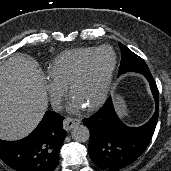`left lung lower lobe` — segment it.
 Returning <instances> with one entry per match:
<instances>
[{
	"mask_svg": "<svg viewBox=\"0 0 171 171\" xmlns=\"http://www.w3.org/2000/svg\"><path fill=\"white\" fill-rule=\"evenodd\" d=\"M156 109L152 118L140 127H128L115 113L112 99L93 116L83 119L90 131L89 154L95 165L104 170H119L133 163L150 142L159 113V92L152 75L146 76Z\"/></svg>",
	"mask_w": 171,
	"mask_h": 171,
	"instance_id": "0a47b994",
	"label": "left lung lower lobe"
}]
</instances>
